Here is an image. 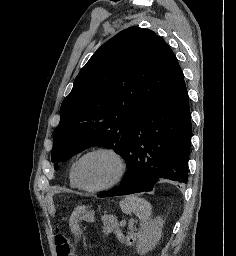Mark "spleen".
<instances>
[{
    "mask_svg": "<svg viewBox=\"0 0 236 256\" xmlns=\"http://www.w3.org/2000/svg\"><path fill=\"white\" fill-rule=\"evenodd\" d=\"M120 208L124 214H131L133 212L142 222L148 220L151 212L149 202H146L143 198H137V196H127L125 200H121Z\"/></svg>",
    "mask_w": 236,
    "mask_h": 256,
    "instance_id": "obj_1",
    "label": "spleen"
}]
</instances>
